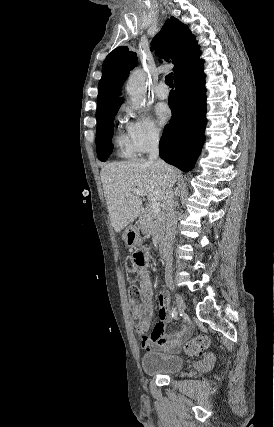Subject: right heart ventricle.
I'll return each instance as SVG.
<instances>
[{
	"mask_svg": "<svg viewBox=\"0 0 274 427\" xmlns=\"http://www.w3.org/2000/svg\"><path fill=\"white\" fill-rule=\"evenodd\" d=\"M116 154L124 159H133L137 156V151L131 144L126 133L118 131L113 139Z\"/></svg>",
	"mask_w": 274,
	"mask_h": 427,
	"instance_id": "right-heart-ventricle-1",
	"label": "right heart ventricle"
}]
</instances>
